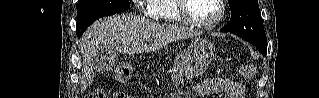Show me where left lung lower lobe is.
I'll use <instances>...</instances> for the list:
<instances>
[{
	"mask_svg": "<svg viewBox=\"0 0 319 98\" xmlns=\"http://www.w3.org/2000/svg\"><path fill=\"white\" fill-rule=\"evenodd\" d=\"M220 31H223V32H224L223 29H221ZM256 47L262 52V54H263L264 56H266L267 46H256Z\"/></svg>",
	"mask_w": 319,
	"mask_h": 98,
	"instance_id": "1",
	"label": "left lung lower lobe"
}]
</instances>
